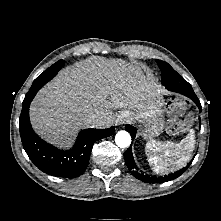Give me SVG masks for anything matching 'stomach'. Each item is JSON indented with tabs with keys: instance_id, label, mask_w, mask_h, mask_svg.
Returning <instances> with one entry per match:
<instances>
[{
	"instance_id": "1",
	"label": "stomach",
	"mask_w": 221,
	"mask_h": 221,
	"mask_svg": "<svg viewBox=\"0 0 221 221\" xmlns=\"http://www.w3.org/2000/svg\"><path fill=\"white\" fill-rule=\"evenodd\" d=\"M160 100L142 110H125L122 112L129 122H138L142 127V135L145 138H153L162 133L164 117L159 107Z\"/></svg>"
}]
</instances>
